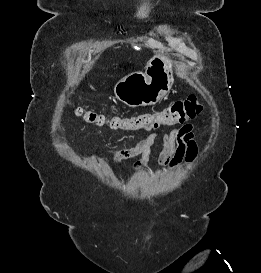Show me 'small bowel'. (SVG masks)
I'll use <instances>...</instances> for the list:
<instances>
[{
    "mask_svg": "<svg viewBox=\"0 0 261 273\" xmlns=\"http://www.w3.org/2000/svg\"><path fill=\"white\" fill-rule=\"evenodd\" d=\"M157 139L162 141V149L158 157L160 165L166 166L169 171H173L183 162L188 166L193 164L197 156L198 147L194 140L191 124L182 125L169 133H151L133 147L109 149V152L114 157V164L118 165L123 160L139 157L134 164V169L136 171L144 169L149 162L151 148Z\"/></svg>",
    "mask_w": 261,
    "mask_h": 273,
    "instance_id": "1",
    "label": "small bowel"
}]
</instances>
